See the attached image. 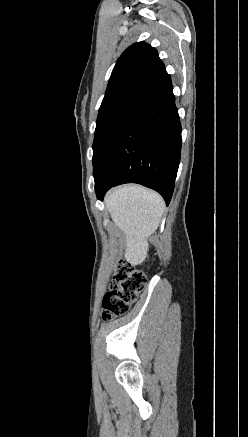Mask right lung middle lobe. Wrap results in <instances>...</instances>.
Instances as JSON below:
<instances>
[{
	"mask_svg": "<svg viewBox=\"0 0 248 437\" xmlns=\"http://www.w3.org/2000/svg\"><path fill=\"white\" fill-rule=\"evenodd\" d=\"M140 92L132 91L101 105L93 142V166Z\"/></svg>",
	"mask_w": 248,
	"mask_h": 437,
	"instance_id": "dd1d6c3e",
	"label": "right lung middle lobe"
}]
</instances>
